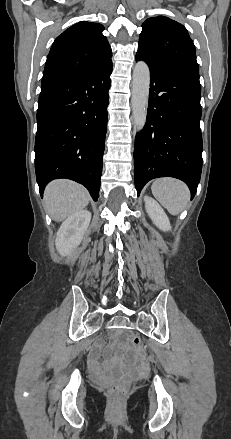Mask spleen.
Listing matches in <instances>:
<instances>
[{
    "mask_svg": "<svg viewBox=\"0 0 231 439\" xmlns=\"http://www.w3.org/2000/svg\"><path fill=\"white\" fill-rule=\"evenodd\" d=\"M151 189L154 197L174 216L182 212L190 199L187 185L178 179H157Z\"/></svg>",
    "mask_w": 231,
    "mask_h": 439,
    "instance_id": "spleen-1",
    "label": "spleen"
}]
</instances>
